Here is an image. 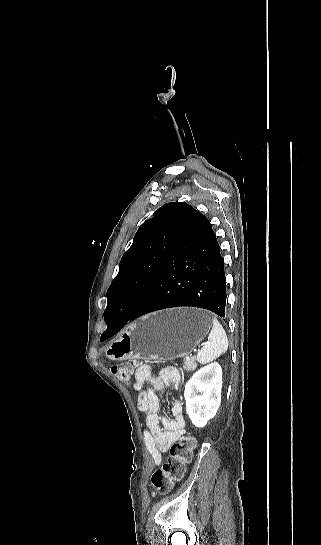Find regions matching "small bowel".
Masks as SVG:
<instances>
[{
  "instance_id": "obj_1",
  "label": "small bowel",
  "mask_w": 321,
  "mask_h": 545,
  "mask_svg": "<svg viewBox=\"0 0 321 545\" xmlns=\"http://www.w3.org/2000/svg\"><path fill=\"white\" fill-rule=\"evenodd\" d=\"M134 388L138 392V408L146 415L147 430L144 440L155 465H159L162 456L167 453L171 444L186 433L183 405L175 401L171 408V416H160V400L158 393L164 392L169 386L178 387L180 375L174 368H165L153 375L149 364L140 365L135 373ZM149 383L152 388L146 389Z\"/></svg>"
}]
</instances>
